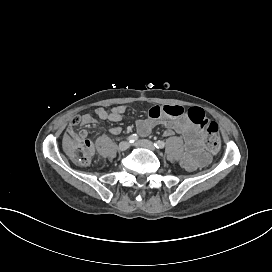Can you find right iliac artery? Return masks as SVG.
<instances>
[{"label": "right iliac artery", "mask_w": 272, "mask_h": 272, "mask_svg": "<svg viewBox=\"0 0 272 272\" xmlns=\"http://www.w3.org/2000/svg\"><path fill=\"white\" fill-rule=\"evenodd\" d=\"M129 143H134L135 141L138 140V135L137 134H131L128 138H127Z\"/></svg>", "instance_id": "right-iliac-artery-1"}]
</instances>
